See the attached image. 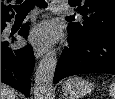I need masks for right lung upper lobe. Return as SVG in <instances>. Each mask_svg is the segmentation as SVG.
<instances>
[{"label": "right lung upper lobe", "mask_w": 115, "mask_h": 99, "mask_svg": "<svg viewBox=\"0 0 115 99\" xmlns=\"http://www.w3.org/2000/svg\"><path fill=\"white\" fill-rule=\"evenodd\" d=\"M10 2L11 0H1V23L13 17V14H9L12 11V4Z\"/></svg>", "instance_id": "obj_1"}]
</instances>
